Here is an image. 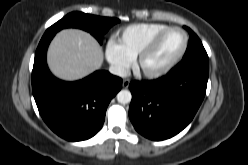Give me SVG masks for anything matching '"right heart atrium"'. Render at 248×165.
<instances>
[{
	"mask_svg": "<svg viewBox=\"0 0 248 165\" xmlns=\"http://www.w3.org/2000/svg\"><path fill=\"white\" fill-rule=\"evenodd\" d=\"M105 56L112 67V70L118 75H124L131 65V59L121 50L119 45L110 41L106 45Z\"/></svg>",
	"mask_w": 248,
	"mask_h": 165,
	"instance_id": "1",
	"label": "right heart atrium"
}]
</instances>
